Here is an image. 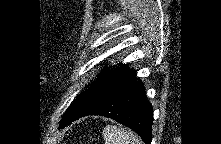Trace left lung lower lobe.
Masks as SVG:
<instances>
[{"label":"left lung lower lobe","mask_w":221,"mask_h":144,"mask_svg":"<svg viewBox=\"0 0 221 144\" xmlns=\"http://www.w3.org/2000/svg\"><path fill=\"white\" fill-rule=\"evenodd\" d=\"M144 91L136 73L128 68L93 107L74 120L87 115L109 117L135 131L146 144H151L153 110L145 100Z\"/></svg>","instance_id":"obj_1"}]
</instances>
